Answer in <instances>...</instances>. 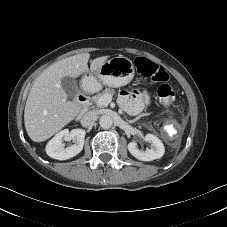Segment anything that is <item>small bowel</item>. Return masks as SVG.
<instances>
[{"mask_svg": "<svg viewBox=\"0 0 227 227\" xmlns=\"http://www.w3.org/2000/svg\"><path fill=\"white\" fill-rule=\"evenodd\" d=\"M147 102V97L142 92H128L122 91L119 95L120 105L130 114H138L145 103Z\"/></svg>", "mask_w": 227, "mask_h": 227, "instance_id": "1", "label": "small bowel"}]
</instances>
